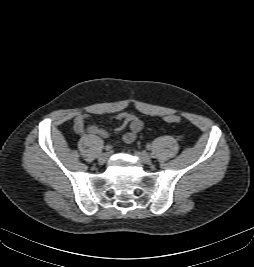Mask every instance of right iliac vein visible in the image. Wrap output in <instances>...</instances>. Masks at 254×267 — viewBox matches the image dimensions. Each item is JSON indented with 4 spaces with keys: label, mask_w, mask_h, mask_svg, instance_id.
I'll list each match as a JSON object with an SVG mask.
<instances>
[{
    "label": "right iliac vein",
    "mask_w": 254,
    "mask_h": 267,
    "mask_svg": "<svg viewBox=\"0 0 254 267\" xmlns=\"http://www.w3.org/2000/svg\"><path fill=\"white\" fill-rule=\"evenodd\" d=\"M108 157H109L108 152H104V153L100 154L99 158H98L99 164H101V165L104 164L107 161Z\"/></svg>",
    "instance_id": "63e3f726"
}]
</instances>
